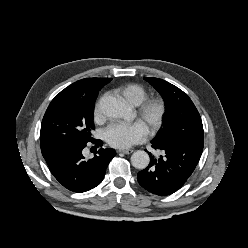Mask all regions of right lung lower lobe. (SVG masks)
Segmentation results:
<instances>
[{
    "instance_id": "98d812e1",
    "label": "right lung lower lobe",
    "mask_w": 248,
    "mask_h": 248,
    "mask_svg": "<svg viewBox=\"0 0 248 248\" xmlns=\"http://www.w3.org/2000/svg\"><path fill=\"white\" fill-rule=\"evenodd\" d=\"M95 146H102L101 140L91 139ZM87 142H73L60 146L44 156L52 175L70 191L81 193L98 186L105 175L106 168L116 151L100 148L91 159H85L82 150Z\"/></svg>"
}]
</instances>
